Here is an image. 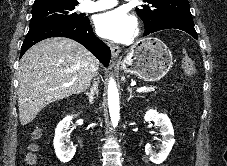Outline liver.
I'll use <instances>...</instances> for the list:
<instances>
[{"label": "liver", "instance_id": "6515ba94", "mask_svg": "<svg viewBox=\"0 0 227 166\" xmlns=\"http://www.w3.org/2000/svg\"><path fill=\"white\" fill-rule=\"evenodd\" d=\"M98 69L96 57L69 38H49L31 47L19 66L21 124L30 123L48 104L85 91Z\"/></svg>", "mask_w": 227, "mask_h": 166}]
</instances>
